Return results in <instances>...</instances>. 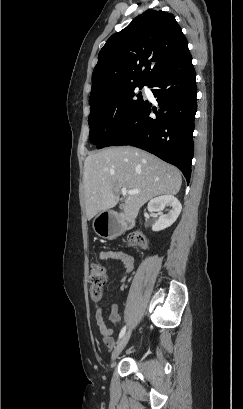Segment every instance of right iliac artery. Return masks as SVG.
Wrapping results in <instances>:
<instances>
[{
	"instance_id": "1",
	"label": "right iliac artery",
	"mask_w": 243,
	"mask_h": 409,
	"mask_svg": "<svg viewBox=\"0 0 243 409\" xmlns=\"http://www.w3.org/2000/svg\"><path fill=\"white\" fill-rule=\"evenodd\" d=\"M125 332H126V326H124V327L121 329L120 334H119V339H121V338L124 336Z\"/></svg>"
}]
</instances>
